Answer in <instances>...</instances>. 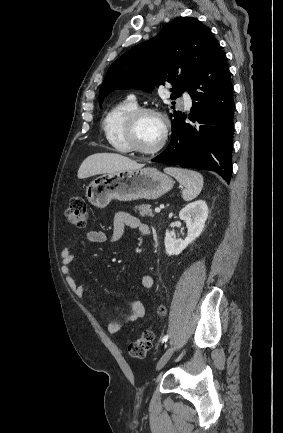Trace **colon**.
<instances>
[{
  "instance_id": "colon-1",
  "label": "colon",
  "mask_w": 283,
  "mask_h": 433,
  "mask_svg": "<svg viewBox=\"0 0 283 433\" xmlns=\"http://www.w3.org/2000/svg\"><path fill=\"white\" fill-rule=\"evenodd\" d=\"M68 224L83 229L87 225L88 212L86 201L83 196L76 195L70 199L69 207L65 213ZM164 313V307L158 308V314ZM154 331L152 327L145 329L128 347L129 354L134 358H143L152 346Z\"/></svg>"
}]
</instances>
